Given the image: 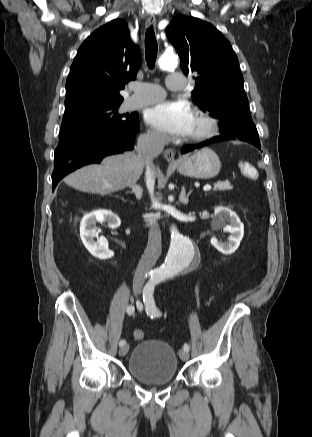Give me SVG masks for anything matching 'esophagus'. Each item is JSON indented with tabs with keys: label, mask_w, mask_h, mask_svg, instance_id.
Returning <instances> with one entry per match:
<instances>
[{
	"label": "esophagus",
	"mask_w": 312,
	"mask_h": 437,
	"mask_svg": "<svg viewBox=\"0 0 312 437\" xmlns=\"http://www.w3.org/2000/svg\"><path fill=\"white\" fill-rule=\"evenodd\" d=\"M146 27L155 26L156 25V18L155 16H150L145 23ZM164 158L166 161L170 164L176 163L175 153L173 150H166L164 153Z\"/></svg>",
	"instance_id": "1"
}]
</instances>
